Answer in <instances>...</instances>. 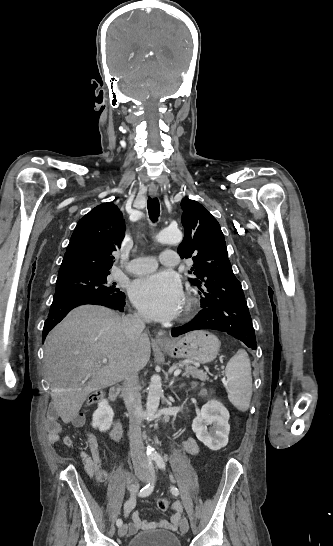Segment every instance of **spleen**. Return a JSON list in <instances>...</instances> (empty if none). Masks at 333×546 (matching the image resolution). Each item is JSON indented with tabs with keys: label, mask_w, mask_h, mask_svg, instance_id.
<instances>
[{
	"label": "spleen",
	"mask_w": 333,
	"mask_h": 546,
	"mask_svg": "<svg viewBox=\"0 0 333 546\" xmlns=\"http://www.w3.org/2000/svg\"><path fill=\"white\" fill-rule=\"evenodd\" d=\"M228 398L240 411H247L252 396L251 364L245 350H239L225 368Z\"/></svg>",
	"instance_id": "spleen-1"
}]
</instances>
